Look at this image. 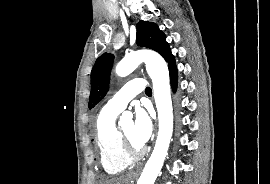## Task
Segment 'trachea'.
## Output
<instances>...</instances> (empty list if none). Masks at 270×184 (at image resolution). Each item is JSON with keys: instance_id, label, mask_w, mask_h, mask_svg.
I'll return each instance as SVG.
<instances>
[{"instance_id": "1", "label": "trachea", "mask_w": 270, "mask_h": 184, "mask_svg": "<svg viewBox=\"0 0 270 184\" xmlns=\"http://www.w3.org/2000/svg\"><path fill=\"white\" fill-rule=\"evenodd\" d=\"M151 92H152L151 88H150V87H147L146 90H145V93H146V94H149V93H151Z\"/></svg>"}]
</instances>
